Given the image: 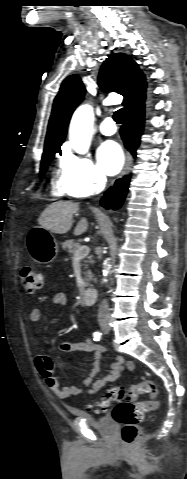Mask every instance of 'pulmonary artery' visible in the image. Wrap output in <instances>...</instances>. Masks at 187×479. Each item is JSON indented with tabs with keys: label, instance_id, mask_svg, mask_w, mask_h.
Instances as JSON below:
<instances>
[{
	"label": "pulmonary artery",
	"instance_id": "1",
	"mask_svg": "<svg viewBox=\"0 0 187 479\" xmlns=\"http://www.w3.org/2000/svg\"><path fill=\"white\" fill-rule=\"evenodd\" d=\"M100 132L105 136H111L116 133V126L112 118H106L102 122Z\"/></svg>",
	"mask_w": 187,
	"mask_h": 479
}]
</instances>
